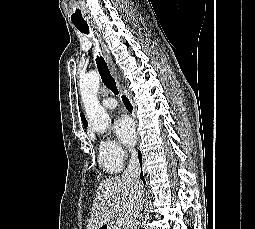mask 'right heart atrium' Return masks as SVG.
<instances>
[{
  "label": "right heart atrium",
  "mask_w": 255,
  "mask_h": 229,
  "mask_svg": "<svg viewBox=\"0 0 255 229\" xmlns=\"http://www.w3.org/2000/svg\"><path fill=\"white\" fill-rule=\"evenodd\" d=\"M100 158L107 166H122L129 151L112 139H103L99 144Z\"/></svg>",
  "instance_id": "1"
}]
</instances>
